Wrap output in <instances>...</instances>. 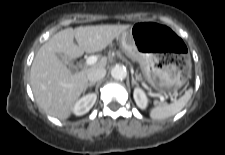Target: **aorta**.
Segmentation results:
<instances>
[{"label": "aorta", "mask_w": 225, "mask_h": 155, "mask_svg": "<svg viewBox=\"0 0 225 155\" xmlns=\"http://www.w3.org/2000/svg\"><path fill=\"white\" fill-rule=\"evenodd\" d=\"M111 76L116 80H123L127 76V70L124 66L116 65L111 70Z\"/></svg>", "instance_id": "1"}]
</instances>
